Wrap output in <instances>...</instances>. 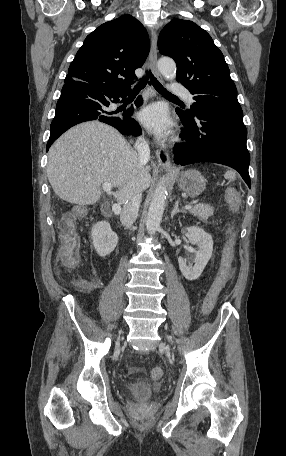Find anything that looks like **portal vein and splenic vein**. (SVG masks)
I'll return each instance as SVG.
<instances>
[{
	"label": "portal vein and splenic vein",
	"mask_w": 286,
	"mask_h": 456,
	"mask_svg": "<svg viewBox=\"0 0 286 456\" xmlns=\"http://www.w3.org/2000/svg\"><path fill=\"white\" fill-rule=\"evenodd\" d=\"M102 187L105 192L109 193L112 189V184L109 182H105V183H103ZM191 207H192L191 204L185 205V209H190ZM112 210L115 214H119L121 212V206L119 204H114L112 206Z\"/></svg>",
	"instance_id": "obj_1"
}]
</instances>
